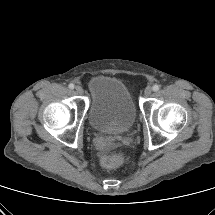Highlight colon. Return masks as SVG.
<instances>
[{
  "label": "colon",
  "instance_id": "5ec220e1",
  "mask_svg": "<svg viewBox=\"0 0 215 215\" xmlns=\"http://www.w3.org/2000/svg\"><path fill=\"white\" fill-rule=\"evenodd\" d=\"M124 161V156L120 153L104 155L101 158V164L106 169H115L120 166Z\"/></svg>",
  "mask_w": 215,
  "mask_h": 215
}]
</instances>
